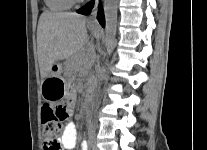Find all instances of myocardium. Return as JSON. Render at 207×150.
Returning <instances> with one entry per match:
<instances>
[{
  "instance_id": "obj_1",
  "label": "myocardium",
  "mask_w": 207,
  "mask_h": 150,
  "mask_svg": "<svg viewBox=\"0 0 207 150\" xmlns=\"http://www.w3.org/2000/svg\"><path fill=\"white\" fill-rule=\"evenodd\" d=\"M84 0H72L73 3H81L83 2Z\"/></svg>"
}]
</instances>
